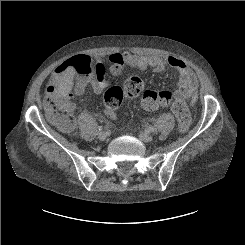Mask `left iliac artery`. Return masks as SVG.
<instances>
[{
  "label": "left iliac artery",
  "instance_id": "left-iliac-artery-1",
  "mask_svg": "<svg viewBox=\"0 0 245 245\" xmlns=\"http://www.w3.org/2000/svg\"><path fill=\"white\" fill-rule=\"evenodd\" d=\"M145 130H146L147 132H153V131H155V129H154L153 127H150V126H146V127H145Z\"/></svg>",
  "mask_w": 245,
  "mask_h": 245
}]
</instances>
